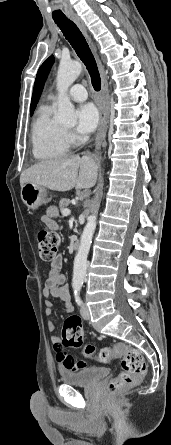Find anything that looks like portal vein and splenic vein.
<instances>
[{"label": "portal vein and splenic vein", "mask_w": 171, "mask_h": 445, "mask_svg": "<svg viewBox=\"0 0 171 445\" xmlns=\"http://www.w3.org/2000/svg\"><path fill=\"white\" fill-rule=\"evenodd\" d=\"M70 214H71V211L69 209H65V210L62 211V215L63 216H68Z\"/></svg>", "instance_id": "portal-vein-and-splenic-vein-1"}]
</instances>
